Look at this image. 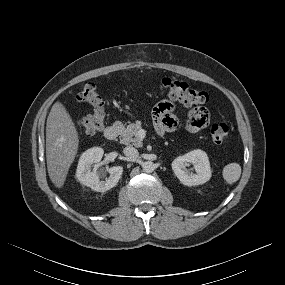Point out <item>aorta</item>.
<instances>
[{
	"mask_svg": "<svg viewBox=\"0 0 285 285\" xmlns=\"http://www.w3.org/2000/svg\"><path fill=\"white\" fill-rule=\"evenodd\" d=\"M142 169L146 173H152L155 170V164L152 161H146L142 164Z\"/></svg>",
	"mask_w": 285,
	"mask_h": 285,
	"instance_id": "obj_1",
	"label": "aorta"
}]
</instances>
